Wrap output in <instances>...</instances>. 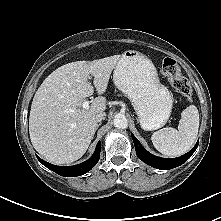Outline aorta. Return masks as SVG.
<instances>
[{
    "instance_id": "762f6f07",
    "label": "aorta",
    "mask_w": 221,
    "mask_h": 221,
    "mask_svg": "<svg viewBox=\"0 0 221 221\" xmlns=\"http://www.w3.org/2000/svg\"><path fill=\"white\" fill-rule=\"evenodd\" d=\"M114 126L118 129H126L128 127V121L125 115L117 114L114 117Z\"/></svg>"
}]
</instances>
